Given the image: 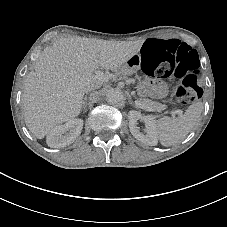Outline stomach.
Segmentation results:
<instances>
[{
  "mask_svg": "<svg viewBox=\"0 0 227 227\" xmlns=\"http://www.w3.org/2000/svg\"><path fill=\"white\" fill-rule=\"evenodd\" d=\"M150 78L141 80L137 86L138 94L142 97L149 96L151 94L150 88L151 85L149 84Z\"/></svg>",
  "mask_w": 227,
  "mask_h": 227,
  "instance_id": "0dacf381",
  "label": "stomach"
}]
</instances>
